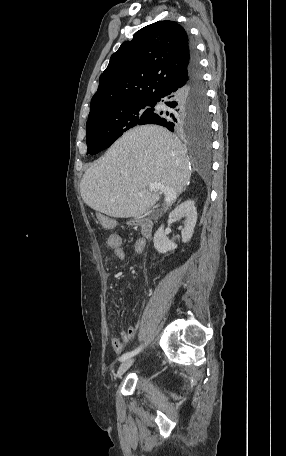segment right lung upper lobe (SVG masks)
I'll return each instance as SVG.
<instances>
[{"label": "right lung upper lobe", "instance_id": "obj_1", "mask_svg": "<svg viewBox=\"0 0 286 456\" xmlns=\"http://www.w3.org/2000/svg\"><path fill=\"white\" fill-rule=\"evenodd\" d=\"M192 49L186 31L174 21L140 29L111 56L88 118L117 103L153 100L175 86L187 74Z\"/></svg>", "mask_w": 286, "mask_h": 456}]
</instances>
